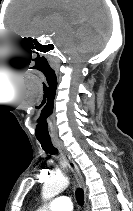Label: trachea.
Wrapping results in <instances>:
<instances>
[{
    "label": "trachea",
    "instance_id": "3493384b",
    "mask_svg": "<svg viewBox=\"0 0 133 211\" xmlns=\"http://www.w3.org/2000/svg\"><path fill=\"white\" fill-rule=\"evenodd\" d=\"M39 142L46 153H50V154L58 153V150L54 147L51 141H39ZM75 194H76V200L78 204L83 205L84 203L83 190L81 188H77Z\"/></svg>",
    "mask_w": 133,
    "mask_h": 211
}]
</instances>
